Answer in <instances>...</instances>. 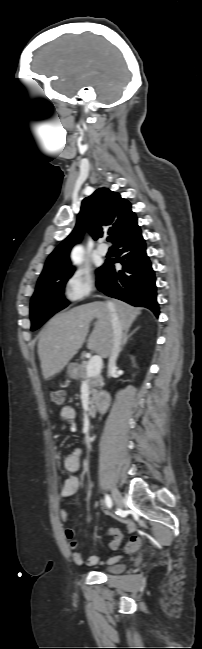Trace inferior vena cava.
<instances>
[{
    "instance_id": "1",
    "label": "inferior vena cava",
    "mask_w": 202,
    "mask_h": 649,
    "mask_svg": "<svg viewBox=\"0 0 202 649\" xmlns=\"http://www.w3.org/2000/svg\"><path fill=\"white\" fill-rule=\"evenodd\" d=\"M110 310H111V324H112V330H113V340H112V347L110 350V355H109V362H108V371L109 374L115 369L116 366V360L118 357V354L120 352L121 344H122V339H123V328L121 326L120 320L115 313L114 310L111 309V305L108 304Z\"/></svg>"
}]
</instances>
